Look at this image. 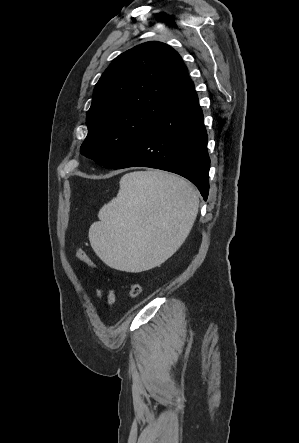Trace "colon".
Here are the masks:
<instances>
[{
    "label": "colon",
    "mask_w": 299,
    "mask_h": 443,
    "mask_svg": "<svg viewBox=\"0 0 299 443\" xmlns=\"http://www.w3.org/2000/svg\"><path fill=\"white\" fill-rule=\"evenodd\" d=\"M75 255L80 261L84 262L88 266L95 268V269L99 268L98 265L94 262V260L89 256V254H87L83 249L76 247L75 248ZM141 292H142V287L139 283H137V282L131 283V285H130L131 298L139 297Z\"/></svg>",
    "instance_id": "5ec220e1"
}]
</instances>
